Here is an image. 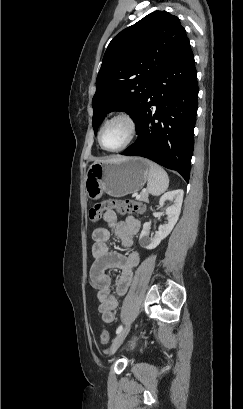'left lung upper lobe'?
<instances>
[{
  "label": "left lung upper lobe",
  "instance_id": "obj_1",
  "mask_svg": "<svg viewBox=\"0 0 243 409\" xmlns=\"http://www.w3.org/2000/svg\"><path fill=\"white\" fill-rule=\"evenodd\" d=\"M178 17L154 11L124 29L109 43L92 99L93 129L112 111L135 121L159 73L187 40Z\"/></svg>",
  "mask_w": 243,
  "mask_h": 409
}]
</instances>
